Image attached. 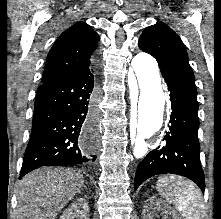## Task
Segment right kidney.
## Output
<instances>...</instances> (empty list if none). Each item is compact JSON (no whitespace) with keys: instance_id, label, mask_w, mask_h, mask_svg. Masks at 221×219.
Segmentation results:
<instances>
[{"instance_id":"right-kidney-1","label":"right kidney","mask_w":221,"mask_h":219,"mask_svg":"<svg viewBox=\"0 0 221 219\" xmlns=\"http://www.w3.org/2000/svg\"><path fill=\"white\" fill-rule=\"evenodd\" d=\"M89 206L84 198L77 199L64 210L60 219H89Z\"/></svg>"}]
</instances>
